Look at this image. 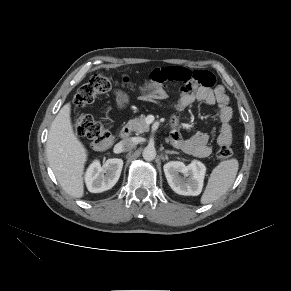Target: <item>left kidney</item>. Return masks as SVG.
Returning a JSON list of instances; mask_svg holds the SVG:
<instances>
[{
	"mask_svg": "<svg viewBox=\"0 0 291 291\" xmlns=\"http://www.w3.org/2000/svg\"><path fill=\"white\" fill-rule=\"evenodd\" d=\"M163 169L167 182L175 193L185 196H198L201 193L206 173V167L201 162L192 161L186 166L180 161H170Z\"/></svg>",
	"mask_w": 291,
	"mask_h": 291,
	"instance_id": "1",
	"label": "left kidney"
}]
</instances>
